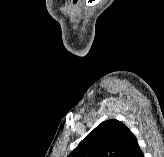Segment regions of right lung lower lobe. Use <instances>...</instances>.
<instances>
[{"label":"right lung lower lobe","instance_id":"1","mask_svg":"<svg viewBox=\"0 0 164 157\" xmlns=\"http://www.w3.org/2000/svg\"><path fill=\"white\" fill-rule=\"evenodd\" d=\"M125 157H144L142 150L140 149L137 141L132 146V148L130 149V151L127 153Z\"/></svg>","mask_w":164,"mask_h":157}]
</instances>
